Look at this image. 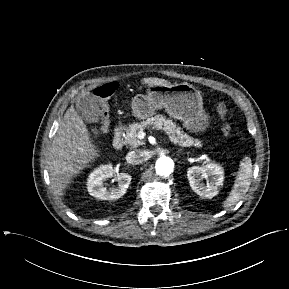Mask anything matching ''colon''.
<instances>
[{"label": "colon", "instance_id": "obj_1", "mask_svg": "<svg viewBox=\"0 0 289 289\" xmlns=\"http://www.w3.org/2000/svg\"><path fill=\"white\" fill-rule=\"evenodd\" d=\"M117 84L115 82H108L98 86L94 90V94L100 101L101 118L100 124L102 127H106L109 123V104L108 100L115 93ZM216 111L223 121L222 131L225 135L229 136L232 133L231 125L226 121L228 115V107L224 102H219L216 105Z\"/></svg>", "mask_w": 289, "mask_h": 289}]
</instances>
